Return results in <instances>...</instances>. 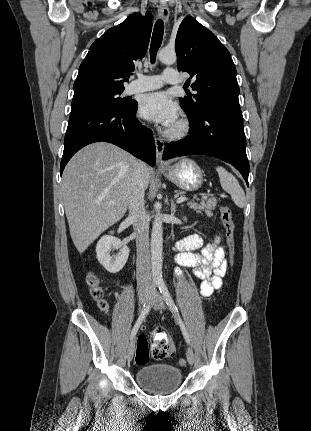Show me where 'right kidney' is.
<instances>
[{
    "label": "right kidney",
    "mask_w": 311,
    "mask_h": 431,
    "mask_svg": "<svg viewBox=\"0 0 311 431\" xmlns=\"http://www.w3.org/2000/svg\"><path fill=\"white\" fill-rule=\"evenodd\" d=\"M119 249L118 253L115 255H110L111 249ZM97 259L107 271L110 273H117L122 267H124L128 255L129 247L122 243L119 237H114V235H102L96 245Z\"/></svg>",
    "instance_id": "right-kidney-1"
}]
</instances>
